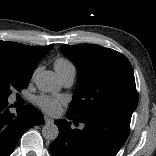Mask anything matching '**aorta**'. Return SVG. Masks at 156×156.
I'll return each mask as SVG.
<instances>
[{"label": "aorta", "mask_w": 156, "mask_h": 156, "mask_svg": "<svg viewBox=\"0 0 156 156\" xmlns=\"http://www.w3.org/2000/svg\"><path fill=\"white\" fill-rule=\"evenodd\" d=\"M35 83L37 88L43 92H53L59 88L54 74L50 71H42L36 75ZM59 129L53 122L46 123L42 128V136L49 141L58 137Z\"/></svg>", "instance_id": "1"}]
</instances>
